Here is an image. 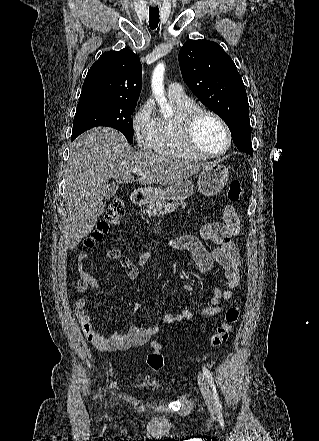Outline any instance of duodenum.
<instances>
[{"label":"duodenum","mask_w":319,"mask_h":441,"mask_svg":"<svg viewBox=\"0 0 319 441\" xmlns=\"http://www.w3.org/2000/svg\"><path fill=\"white\" fill-rule=\"evenodd\" d=\"M148 199H149V193L147 191H144V190L134 191L131 194V198H130L131 202L134 205L143 204V203L147 202Z\"/></svg>","instance_id":"obj_1"}]
</instances>
